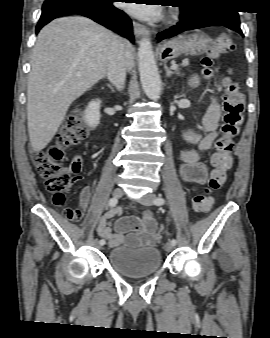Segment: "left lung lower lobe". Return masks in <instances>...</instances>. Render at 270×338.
<instances>
[{"label": "left lung lower lobe", "instance_id": "left-lung-lower-lobe-1", "mask_svg": "<svg viewBox=\"0 0 270 338\" xmlns=\"http://www.w3.org/2000/svg\"><path fill=\"white\" fill-rule=\"evenodd\" d=\"M210 26H224L243 35L238 12L222 5H213L192 15H185L181 12V21L170 29L160 32L157 39L161 41L187 30Z\"/></svg>", "mask_w": 270, "mask_h": 338}]
</instances>
